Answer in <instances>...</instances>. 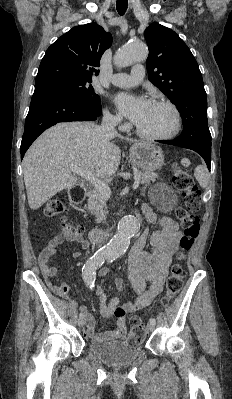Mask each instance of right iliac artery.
I'll return each mask as SVG.
<instances>
[{
    "label": "right iliac artery",
    "instance_id": "1",
    "mask_svg": "<svg viewBox=\"0 0 232 399\" xmlns=\"http://www.w3.org/2000/svg\"><path fill=\"white\" fill-rule=\"evenodd\" d=\"M105 255H92L82 267V278L87 287L95 288L96 271L104 263ZM83 318V315H80Z\"/></svg>",
    "mask_w": 232,
    "mask_h": 399
}]
</instances>
